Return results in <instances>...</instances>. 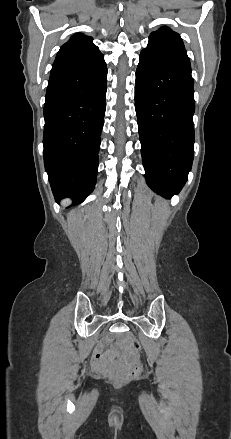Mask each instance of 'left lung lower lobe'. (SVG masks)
<instances>
[{"label":"left lung lower lobe","instance_id":"left-lung-lower-lobe-1","mask_svg":"<svg viewBox=\"0 0 231 439\" xmlns=\"http://www.w3.org/2000/svg\"><path fill=\"white\" fill-rule=\"evenodd\" d=\"M135 110L148 185L178 194L194 157V83L190 61L144 49L136 71Z\"/></svg>","mask_w":231,"mask_h":439}]
</instances>
